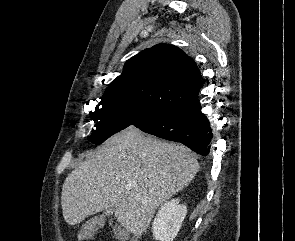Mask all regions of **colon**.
Masks as SVG:
<instances>
[{
	"label": "colon",
	"mask_w": 295,
	"mask_h": 241,
	"mask_svg": "<svg viewBox=\"0 0 295 241\" xmlns=\"http://www.w3.org/2000/svg\"><path fill=\"white\" fill-rule=\"evenodd\" d=\"M116 235L117 237L122 240V241H136L133 237H131L129 235L128 232H126L125 230L123 229H117V232H116ZM85 236H88V234H86Z\"/></svg>",
	"instance_id": "colon-1"
}]
</instances>
